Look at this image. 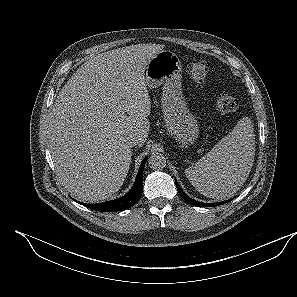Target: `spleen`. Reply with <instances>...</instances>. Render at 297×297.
I'll list each match as a JSON object with an SVG mask.
<instances>
[{
  "mask_svg": "<svg viewBox=\"0 0 297 297\" xmlns=\"http://www.w3.org/2000/svg\"><path fill=\"white\" fill-rule=\"evenodd\" d=\"M254 156L253 124L249 117H243L210 152L186 168L185 174L201 194L214 199L230 198L247 180Z\"/></svg>",
  "mask_w": 297,
  "mask_h": 297,
  "instance_id": "spleen-1",
  "label": "spleen"
}]
</instances>
